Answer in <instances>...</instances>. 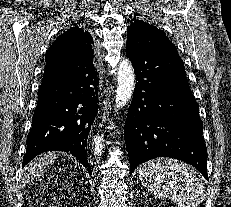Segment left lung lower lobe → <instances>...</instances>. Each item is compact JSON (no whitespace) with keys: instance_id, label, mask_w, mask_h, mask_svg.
<instances>
[{"instance_id":"0a47b994","label":"left lung lower lobe","mask_w":231,"mask_h":207,"mask_svg":"<svg viewBox=\"0 0 231 207\" xmlns=\"http://www.w3.org/2000/svg\"><path fill=\"white\" fill-rule=\"evenodd\" d=\"M126 55L138 81L124 128L130 173L150 159L172 157L208 180L203 123L178 52L127 48Z\"/></svg>"}]
</instances>
